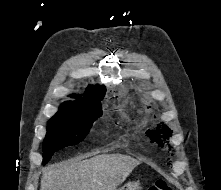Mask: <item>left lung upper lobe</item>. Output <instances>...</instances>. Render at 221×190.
Returning <instances> with one entry per match:
<instances>
[{
	"label": "left lung upper lobe",
	"instance_id": "1",
	"mask_svg": "<svg viewBox=\"0 0 221 190\" xmlns=\"http://www.w3.org/2000/svg\"><path fill=\"white\" fill-rule=\"evenodd\" d=\"M149 133L151 134V132L149 131ZM151 135H153L154 137H156V135L154 133H152Z\"/></svg>",
	"mask_w": 221,
	"mask_h": 190
}]
</instances>
